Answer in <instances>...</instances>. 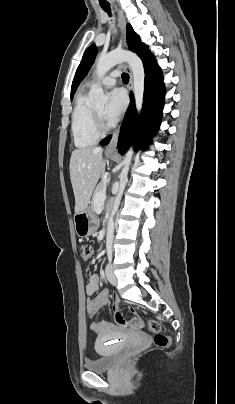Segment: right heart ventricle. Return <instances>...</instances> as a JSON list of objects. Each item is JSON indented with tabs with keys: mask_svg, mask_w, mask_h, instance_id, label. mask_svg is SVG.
<instances>
[{
	"mask_svg": "<svg viewBox=\"0 0 235 404\" xmlns=\"http://www.w3.org/2000/svg\"><path fill=\"white\" fill-rule=\"evenodd\" d=\"M71 133L76 147L86 148L96 144L100 138L94 122L93 108L87 103L85 94L75 102L71 120Z\"/></svg>",
	"mask_w": 235,
	"mask_h": 404,
	"instance_id": "right-heart-ventricle-1",
	"label": "right heart ventricle"
}]
</instances>
